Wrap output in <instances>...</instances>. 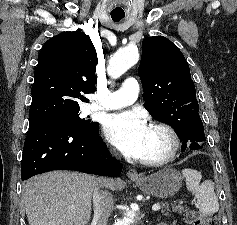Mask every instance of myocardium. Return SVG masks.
Instances as JSON below:
<instances>
[{
    "instance_id": "myocardium-1",
    "label": "myocardium",
    "mask_w": 237,
    "mask_h": 225,
    "mask_svg": "<svg viewBox=\"0 0 237 225\" xmlns=\"http://www.w3.org/2000/svg\"><path fill=\"white\" fill-rule=\"evenodd\" d=\"M149 128L163 133L169 140V147L165 154L153 158H141L140 162L148 166H162L170 162L178 153L180 139L177 132L169 125L161 122H152Z\"/></svg>"
}]
</instances>
